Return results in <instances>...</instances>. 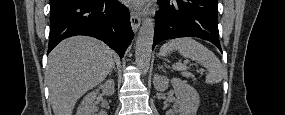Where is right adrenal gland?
I'll use <instances>...</instances> for the list:
<instances>
[{
	"label": "right adrenal gland",
	"mask_w": 285,
	"mask_h": 115,
	"mask_svg": "<svg viewBox=\"0 0 285 115\" xmlns=\"http://www.w3.org/2000/svg\"><path fill=\"white\" fill-rule=\"evenodd\" d=\"M112 70H114L116 72V66H115V63H113V67H112ZM112 70L109 72V75H111L112 73Z\"/></svg>",
	"instance_id": "1"
}]
</instances>
